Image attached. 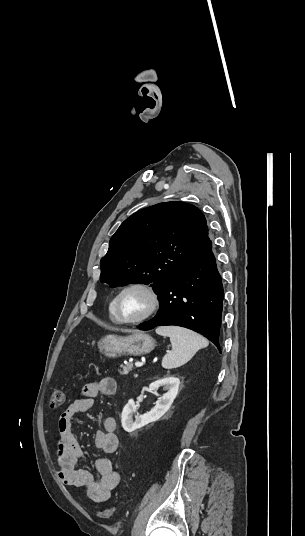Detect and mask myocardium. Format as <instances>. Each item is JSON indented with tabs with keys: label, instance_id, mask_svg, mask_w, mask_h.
Here are the masks:
<instances>
[{
	"label": "myocardium",
	"instance_id": "myocardium-1",
	"mask_svg": "<svg viewBox=\"0 0 305 536\" xmlns=\"http://www.w3.org/2000/svg\"><path fill=\"white\" fill-rule=\"evenodd\" d=\"M132 288L143 289L149 296L150 306H149L148 311L140 318L133 319V320L122 319L119 313L120 299L122 295L124 294V292ZM160 305H161L160 294L154 285L146 281H133L124 285L114 296L113 314L119 325L133 327V326L141 325L145 323L146 321L150 320L158 312Z\"/></svg>",
	"mask_w": 305,
	"mask_h": 536
}]
</instances>
